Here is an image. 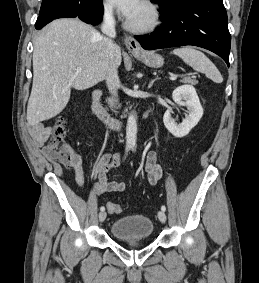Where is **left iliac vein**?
Masks as SVG:
<instances>
[{
  "mask_svg": "<svg viewBox=\"0 0 259 283\" xmlns=\"http://www.w3.org/2000/svg\"><path fill=\"white\" fill-rule=\"evenodd\" d=\"M158 218L162 223L166 222V215H165L164 211H162V210L158 211Z\"/></svg>",
  "mask_w": 259,
  "mask_h": 283,
  "instance_id": "obj_1",
  "label": "left iliac vein"
}]
</instances>
